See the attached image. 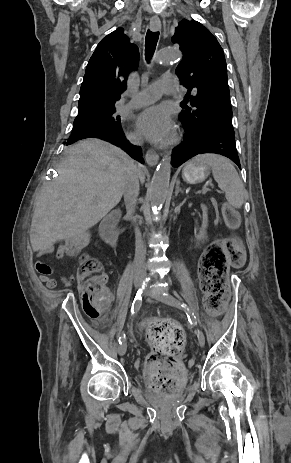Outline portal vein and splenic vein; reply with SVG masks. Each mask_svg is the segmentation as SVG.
Wrapping results in <instances>:
<instances>
[{
    "mask_svg": "<svg viewBox=\"0 0 291 463\" xmlns=\"http://www.w3.org/2000/svg\"><path fill=\"white\" fill-rule=\"evenodd\" d=\"M208 184H209V183H206V185L203 187V193H205V192L207 191V187H206V186H207Z\"/></svg>",
    "mask_w": 291,
    "mask_h": 463,
    "instance_id": "obj_1",
    "label": "portal vein and splenic vein"
}]
</instances>
